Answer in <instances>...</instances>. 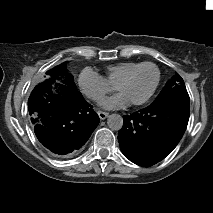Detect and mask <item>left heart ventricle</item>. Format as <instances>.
<instances>
[{"mask_svg": "<svg viewBox=\"0 0 213 213\" xmlns=\"http://www.w3.org/2000/svg\"><path fill=\"white\" fill-rule=\"evenodd\" d=\"M155 71L151 67H143L135 72L126 82L122 83L117 91L129 101H136L145 97L155 81Z\"/></svg>", "mask_w": 213, "mask_h": 213, "instance_id": "left-heart-ventricle-1", "label": "left heart ventricle"}]
</instances>
